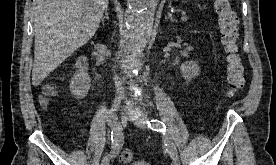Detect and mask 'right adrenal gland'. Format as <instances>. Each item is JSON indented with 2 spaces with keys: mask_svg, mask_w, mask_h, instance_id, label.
Listing matches in <instances>:
<instances>
[{
  "mask_svg": "<svg viewBox=\"0 0 276 165\" xmlns=\"http://www.w3.org/2000/svg\"><path fill=\"white\" fill-rule=\"evenodd\" d=\"M104 16L102 17L101 19V22L104 23V20L107 19L109 20V16H108V7L105 8V11H104Z\"/></svg>",
  "mask_w": 276,
  "mask_h": 165,
  "instance_id": "obj_1",
  "label": "right adrenal gland"
}]
</instances>
